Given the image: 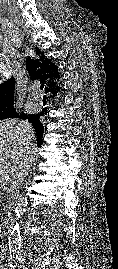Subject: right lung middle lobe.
Returning a JSON list of instances; mask_svg holds the SVG:
<instances>
[{"label": "right lung middle lobe", "mask_w": 118, "mask_h": 269, "mask_svg": "<svg viewBox=\"0 0 118 269\" xmlns=\"http://www.w3.org/2000/svg\"><path fill=\"white\" fill-rule=\"evenodd\" d=\"M18 117L13 104L0 107V120Z\"/></svg>", "instance_id": "obj_1"}]
</instances>
